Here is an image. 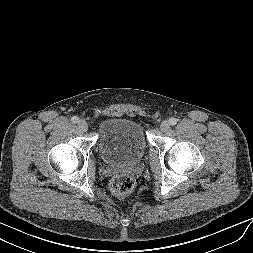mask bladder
I'll use <instances>...</instances> for the list:
<instances>
[{"label": "bladder", "instance_id": "obj_1", "mask_svg": "<svg viewBox=\"0 0 253 253\" xmlns=\"http://www.w3.org/2000/svg\"><path fill=\"white\" fill-rule=\"evenodd\" d=\"M146 148L145 130L138 121L109 118L99 126V155L107 164H136L143 157Z\"/></svg>", "mask_w": 253, "mask_h": 253}]
</instances>
